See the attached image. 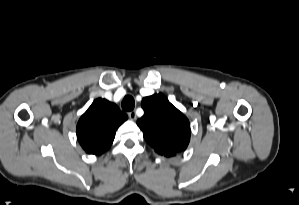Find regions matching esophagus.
<instances>
[{
  "label": "esophagus",
  "mask_w": 299,
  "mask_h": 205,
  "mask_svg": "<svg viewBox=\"0 0 299 205\" xmlns=\"http://www.w3.org/2000/svg\"><path fill=\"white\" fill-rule=\"evenodd\" d=\"M128 116L131 120H135L136 119V112L135 111H130L128 113Z\"/></svg>",
  "instance_id": "esophagus-1"
}]
</instances>
